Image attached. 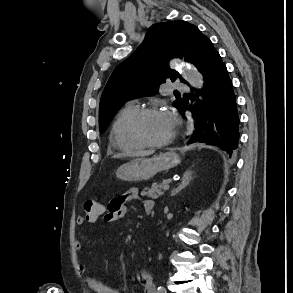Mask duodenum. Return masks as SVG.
I'll list each match as a JSON object with an SVG mask.
<instances>
[{
  "label": "duodenum",
  "mask_w": 293,
  "mask_h": 293,
  "mask_svg": "<svg viewBox=\"0 0 293 293\" xmlns=\"http://www.w3.org/2000/svg\"><path fill=\"white\" fill-rule=\"evenodd\" d=\"M146 213H147V214H150V213H151V210H150V209H148V210L146 211Z\"/></svg>",
  "instance_id": "obj_1"
}]
</instances>
